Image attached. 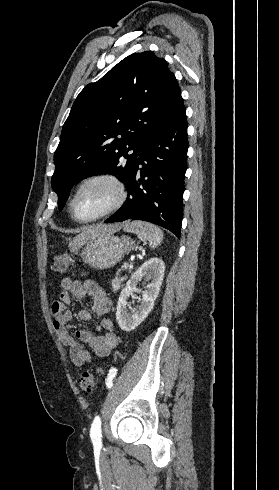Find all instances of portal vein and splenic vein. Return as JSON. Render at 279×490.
Here are the masks:
<instances>
[{"mask_svg": "<svg viewBox=\"0 0 279 490\" xmlns=\"http://www.w3.org/2000/svg\"><path fill=\"white\" fill-rule=\"evenodd\" d=\"M122 268H129V264H124V266H122Z\"/></svg>", "mask_w": 279, "mask_h": 490, "instance_id": "1", "label": "portal vein and splenic vein"}]
</instances>
